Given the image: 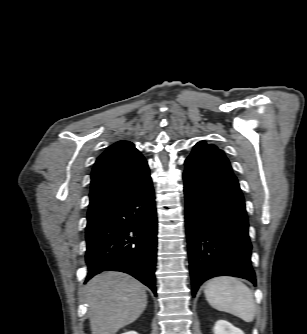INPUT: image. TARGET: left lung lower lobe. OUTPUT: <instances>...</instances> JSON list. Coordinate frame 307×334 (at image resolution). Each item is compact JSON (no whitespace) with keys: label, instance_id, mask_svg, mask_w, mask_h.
<instances>
[{"label":"left lung lower lobe","instance_id":"0a47b994","mask_svg":"<svg viewBox=\"0 0 307 334\" xmlns=\"http://www.w3.org/2000/svg\"><path fill=\"white\" fill-rule=\"evenodd\" d=\"M192 295L206 280L230 275L256 283L248 217L233 173L186 165L183 173Z\"/></svg>","mask_w":307,"mask_h":334}]
</instances>
